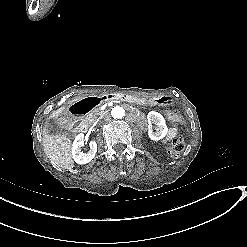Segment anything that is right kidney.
<instances>
[{
    "mask_svg": "<svg viewBox=\"0 0 247 247\" xmlns=\"http://www.w3.org/2000/svg\"><path fill=\"white\" fill-rule=\"evenodd\" d=\"M84 145V134L79 133L72 144V156L74 161L77 164H87L89 163L94 157L97 152V143L95 141H90L89 146L90 150L88 152H83L81 147Z\"/></svg>",
    "mask_w": 247,
    "mask_h": 247,
    "instance_id": "ca27d5eb",
    "label": "right kidney"
}]
</instances>
